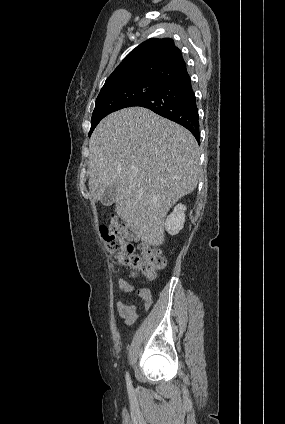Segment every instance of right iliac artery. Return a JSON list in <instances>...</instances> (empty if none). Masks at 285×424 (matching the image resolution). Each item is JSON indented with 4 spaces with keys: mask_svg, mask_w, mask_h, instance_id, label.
Instances as JSON below:
<instances>
[{
    "mask_svg": "<svg viewBox=\"0 0 285 424\" xmlns=\"http://www.w3.org/2000/svg\"><path fill=\"white\" fill-rule=\"evenodd\" d=\"M126 382H127V388L129 390H132V383H131V380H130V377H129L128 372L126 373Z\"/></svg>",
    "mask_w": 285,
    "mask_h": 424,
    "instance_id": "82829eb1",
    "label": "right iliac artery"
}]
</instances>
